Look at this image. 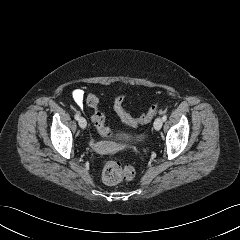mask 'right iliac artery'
<instances>
[{
  "label": "right iliac artery",
  "instance_id": "right-iliac-artery-1",
  "mask_svg": "<svg viewBox=\"0 0 240 240\" xmlns=\"http://www.w3.org/2000/svg\"><path fill=\"white\" fill-rule=\"evenodd\" d=\"M74 118H75L76 120H79L80 117H79L78 114H75V115H74Z\"/></svg>",
  "mask_w": 240,
  "mask_h": 240
}]
</instances>
